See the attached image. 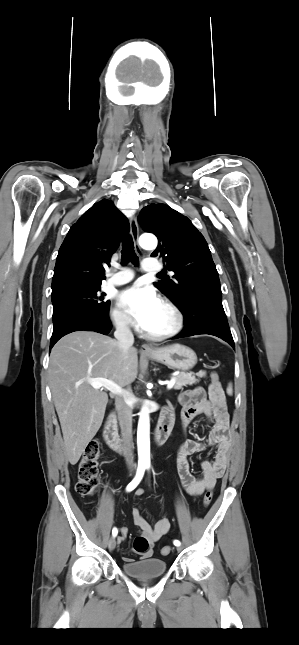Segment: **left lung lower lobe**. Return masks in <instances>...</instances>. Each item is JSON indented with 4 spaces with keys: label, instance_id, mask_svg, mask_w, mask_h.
Returning a JSON list of instances; mask_svg holds the SVG:
<instances>
[{
    "label": "left lung lower lobe",
    "instance_id": "0a47b994",
    "mask_svg": "<svg viewBox=\"0 0 299 645\" xmlns=\"http://www.w3.org/2000/svg\"><path fill=\"white\" fill-rule=\"evenodd\" d=\"M184 330L174 338L209 334L223 339L235 349V344L222 305L221 293L208 294L197 306L192 319L184 317Z\"/></svg>",
    "mask_w": 299,
    "mask_h": 645
}]
</instances>
